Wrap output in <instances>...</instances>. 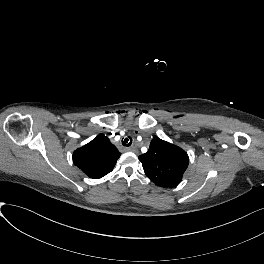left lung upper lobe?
Returning a JSON list of instances; mask_svg holds the SVG:
<instances>
[{
  "mask_svg": "<svg viewBox=\"0 0 264 264\" xmlns=\"http://www.w3.org/2000/svg\"><path fill=\"white\" fill-rule=\"evenodd\" d=\"M146 176L165 188L177 186L189 164L187 153L180 147L158 137L151 141L149 150L139 156Z\"/></svg>",
  "mask_w": 264,
  "mask_h": 264,
  "instance_id": "left-lung-upper-lobe-1",
  "label": "left lung upper lobe"
}]
</instances>
